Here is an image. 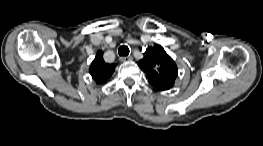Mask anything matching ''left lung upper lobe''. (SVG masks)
<instances>
[{
  "mask_svg": "<svg viewBox=\"0 0 263 146\" xmlns=\"http://www.w3.org/2000/svg\"><path fill=\"white\" fill-rule=\"evenodd\" d=\"M138 65L147 74L151 85L158 90L173 87L178 75L177 65L162 46L156 44L148 48Z\"/></svg>",
  "mask_w": 263,
  "mask_h": 146,
  "instance_id": "5c2ea615",
  "label": "left lung upper lobe"
}]
</instances>
